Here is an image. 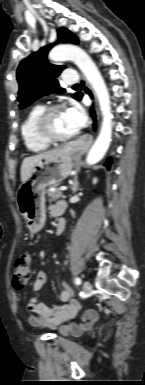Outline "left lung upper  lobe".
Returning <instances> with one entry per match:
<instances>
[{"instance_id":"left-lung-upper-lobe-1","label":"left lung upper lobe","mask_w":145,"mask_h":385,"mask_svg":"<svg viewBox=\"0 0 145 385\" xmlns=\"http://www.w3.org/2000/svg\"><path fill=\"white\" fill-rule=\"evenodd\" d=\"M58 39L62 43H78V38L66 28L58 30ZM52 46L53 44L41 48L19 64L17 80L19 83L18 101L21 108L29 106L42 95L65 92L56 79L64 67L50 64L46 60L47 53ZM73 97L81 100L82 94L75 93Z\"/></svg>"}]
</instances>
